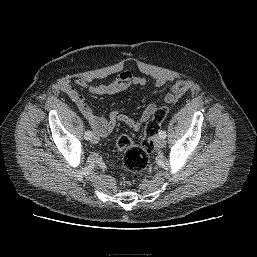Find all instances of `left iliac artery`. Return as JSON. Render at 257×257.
Returning a JSON list of instances; mask_svg holds the SVG:
<instances>
[{
	"instance_id": "obj_1",
	"label": "left iliac artery",
	"mask_w": 257,
	"mask_h": 257,
	"mask_svg": "<svg viewBox=\"0 0 257 257\" xmlns=\"http://www.w3.org/2000/svg\"><path fill=\"white\" fill-rule=\"evenodd\" d=\"M159 136L162 138H166L167 135H166L165 131L161 130V131H159Z\"/></svg>"
}]
</instances>
